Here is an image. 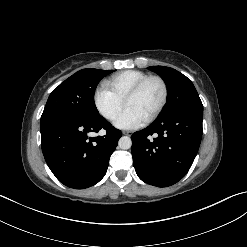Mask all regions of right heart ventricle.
Segmentation results:
<instances>
[{"label": "right heart ventricle", "instance_id": "1", "mask_svg": "<svg viewBox=\"0 0 247 247\" xmlns=\"http://www.w3.org/2000/svg\"><path fill=\"white\" fill-rule=\"evenodd\" d=\"M147 76L149 75L143 71L126 70L113 75L106 80L105 85L124 100L129 90Z\"/></svg>", "mask_w": 247, "mask_h": 247}]
</instances>
